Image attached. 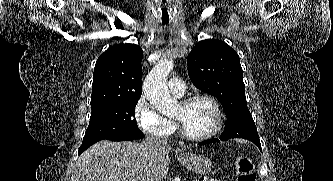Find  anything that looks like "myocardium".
Listing matches in <instances>:
<instances>
[{
  "instance_id": "1",
  "label": "myocardium",
  "mask_w": 333,
  "mask_h": 181,
  "mask_svg": "<svg viewBox=\"0 0 333 181\" xmlns=\"http://www.w3.org/2000/svg\"><path fill=\"white\" fill-rule=\"evenodd\" d=\"M198 100H204L211 104V106L213 107L214 113H215V123H214L213 128L210 131H208L207 133H204L201 135H193V134L188 133L184 129L182 124L178 120H176L181 136L190 141H205L207 139L212 138L221 130L222 124H223V114H222L221 106H220L219 102L210 95H207V94L193 95V96L187 97L184 100H182L180 104L185 106V105H189Z\"/></svg>"
}]
</instances>
